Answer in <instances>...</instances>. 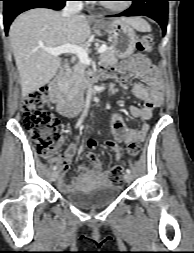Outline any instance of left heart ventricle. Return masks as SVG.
I'll list each match as a JSON object with an SVG mask.
<instances>
[{
    "instance_id": "left-heart-ventricle-1",
    "label": "left heart ventricle",
    "mask_w": 194,
    "mask_h": 253,
    "mask_svg": "<svg viewBox=\"0 0 194 253\" xmlns=\"http://www.w3.org/2000/svg\"><path fill=\"white\" fill-rule=\"evenodd\" d=\"M109 4L120 5V4H122V2L121 1H113V2H109Z\"/></svg>"
}]
</instances>
